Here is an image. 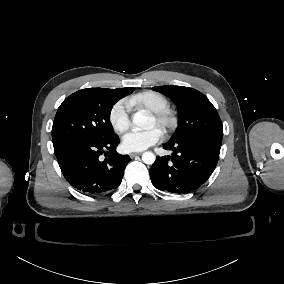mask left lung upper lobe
Returning <instances> with one entry per match:
<instances>
[{
	"mask_svg": "<svg viewBox=\"0 0 284 284\" xmlns=\"http://www.w3.org/2000/svg\"><path fill=\"white\" fill-rule=\"evenodd\" d=\"M153 90L170 97L178 106L179 126L170 139L207 137L222 141L223 126L217 110L201 92L183 86H157Z\"/></svg>",
	"mask_w": 284,
	"mask_h": 284,
	"instance_id": "obj_1",
	"label": "left lung upper lobe"
}]
</instances>
